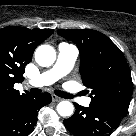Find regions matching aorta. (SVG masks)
<instances>
[{
  "instance_id": "1",
  "label": "aorta",
  "mask_w": 136,
  "mask_h": 136,
  "mask_svg": "<svg viewBox=\"0 0 136 136\" xmlns=\"http://www.w3.org/2000/svg\"><path fill=\"white\" fill-rule=\"evenodd\" d=\"M35 60L42 67L51 66L56 60V51L50 45H41L35 51ZM74 106L69 101H61L57 105V112L60 116H71Z\"/></svg>"
}]
</instances>
